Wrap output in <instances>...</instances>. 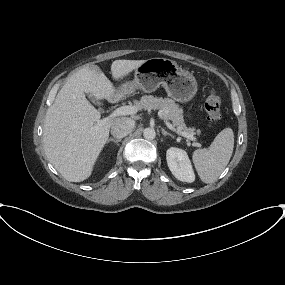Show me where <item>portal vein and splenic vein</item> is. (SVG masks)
I'll use <instances>...</instances> for the list:
<instances>
[{
    "label": "portal vein and splenic vein",
    "mask_w": 285,
    "mask_h": 285,
    "mask_svg": "<svg viewBox=\"0 0 285 285\" xmlns=\"http://www.w3.org/2000/svg\"><path fill=\"white\" fill-rule=\"evenodd\" d=\"M137 111H138V108L136 106H121V107L115 109L111 115H112V117L131 115V114L136 113ZM160 116L163 119V121L165 122L166 126L170 130L174 131L178 135L183 136V137H185L191 141H197V139L192 134H188L186 132H183L179 129L174 128V126L165 117H163L162 115H160Z\"/></svg>",
    "instance_id": "18ae733b"
}]
</instances>
